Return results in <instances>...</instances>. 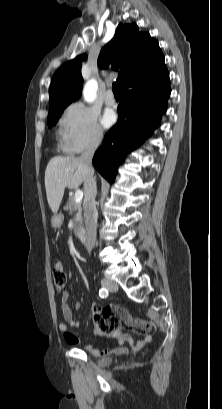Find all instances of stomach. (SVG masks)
I'll list each match as a JSON object with an SVG mask.
<instances>
[{
	"label": "stomach",
	"instance_id": "stomach-1",
	"mask_svg": "<svg viewBox=\"0 0 222 409\" xmlns=\"http://www.w3.org/2000/svg\"><path fill=\"white\" fill-rule=\"evenodd\" d=\"M64 217L62 214L56 215L53 220L52 224L54 227H60L63 224Z\"/></svg>",
	"mask_w": 222,
	"mask_h": 409
}]
</instances>
